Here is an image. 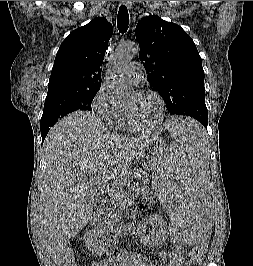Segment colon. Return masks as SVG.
<instances>
[{"label":"colon","mask_w":253,"mask_h":266,"mask_svg":"<svg viewBox=\"0 0 253 266\" xmlns=\"http://www.w3.org/2000/svg\"><path fill=\"white\" fill-rule=\"evenodd\" d=\"M207 251V243L204 242L203 248H193L191 251V259L193 261H198L202 259V257L205 255ZM63 266H76L75 258L71 253H67L66 256L63 259Z\"/></svg>","instance_id":"obj_1"}]
</instances>
